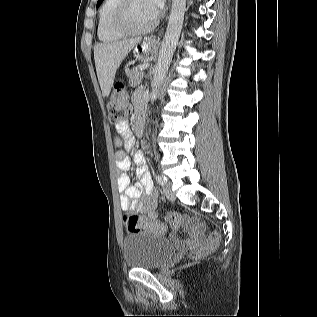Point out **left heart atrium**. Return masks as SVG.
I'll return each mask as SVG.
<instances>
[{"label": "left heart atrium", "instance_id": "1", "mask_svg": "<svg viewBox=\"0 0 317 317\" xmlns=\"http://www.w3.org/2000/svg\"><path fill=\"white\" fill-rule=\"evenodd\" d=\"M148 1L154 13L158 15L164 5L165 0H148Z\"/></svg>", "mask_w": 317, "mask_h": 317}]
</instances>
